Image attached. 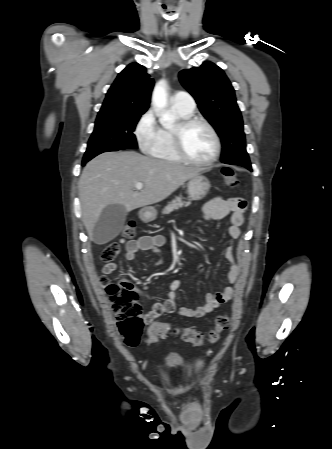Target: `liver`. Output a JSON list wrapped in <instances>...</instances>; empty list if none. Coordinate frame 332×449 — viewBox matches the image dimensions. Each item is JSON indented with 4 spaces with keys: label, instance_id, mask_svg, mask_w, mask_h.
Segmentation results:
<instances>
[{
    "label": "liver",
    "instance_id": "1",
    "mask_svg": "<svg viewBox=\"0 0 332 449\" xmlns=\"http://www.w3.org/2000/svg\"><path fill=\"white\" fill-rule=\"evenodd\" d=\"M201 169L158 160L134 151L107 152L92 159L79 180V197L84 225L91 239L102 210L120 204L130 212L158 203ZM143 183L137 192L135 185Z\"/></svg>",
    "mask_w": 332,
    "mask_h": 449
}]
</instances>
